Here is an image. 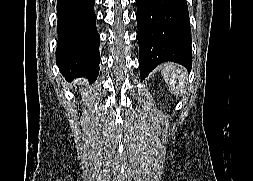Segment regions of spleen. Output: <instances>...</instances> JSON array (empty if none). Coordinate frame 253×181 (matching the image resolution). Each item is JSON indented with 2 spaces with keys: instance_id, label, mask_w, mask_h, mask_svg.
Returning a JSON list of instances; mask_svg holds the SVG:
<instances>
[{
  "instance_id": "spleen-1",
  "label": "spleen",
  "mask_w": 253,
  "mask_h": 181,
  "mask_svg": "<svg viewBox=\"0 0 253 181\" xmlns=\"http://www.w3.org/2000/svg\"><path fill=\"white\" fill-rule=\"evenodd\" d=\"M161 73L174 95L181 96L185 93L187 73L183 67L166 63L161 66Z\"/></svg>"
}]
</instances>
